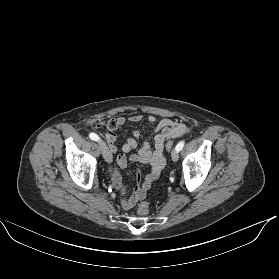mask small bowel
Returning <instances> with one entry per match:
<instances>
[{"mask_svg":"<svg viewBox=\"0 0 279 279\" xmlns=\"http://www.w3.org/2000/svg\"><path fill=\"white\" fill-rule=\"evenodd\" d=\"M128 121L139 123L146 121L154 123L155 116L148 115H132L128 117ZM118 125H124L126 119L120 117ZM188 127L179 121L169 118H161L156 126L157 133L154 136V146L151 148L148 141H145L142 147L136 152L128 156L137 147V139L140 136L138 131H134L122 147L123 153L117 155L116 161L119 167L124 168L129 161L140 162L151 167L150 173L145 177L142 184H138L134 193L130 197H126V188L122 182V177L117 168L111 166L108 168V174L112 180L114 187L122 194L121 205L123 209H131L139 200L143 199L146 192L150 189L152 183L159 177L162 169L165 166L166 160L164 155V145L167 141L180 138L188 133ZM106 140L111 153L116 154L118 148L116 146V136L112 132H106ZM138 180L140 179L139 172L137 173Z\"/></svg>","mask_w":279,"mask_h":279,"instance_id":"obj_1","label":"small bowel"}]
</instances>
